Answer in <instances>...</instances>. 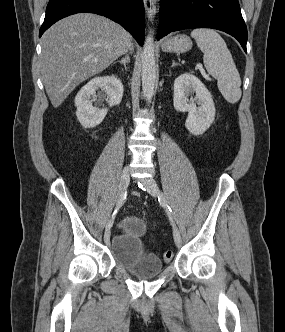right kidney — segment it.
<instances>
[{"label": "right kidney", "mask_w": 285, "mask_h": 332, "mask_svg": "<svg viewBox=\"0 0 285 332\" xmlns=\"http://www.w3.org/2000/svg\"><path fill=\"white\" fill-rule=\"evenodd\" d=\"M101 90L100 95H107L110 107L119 105L123 96V84L120 79L112 76L96 77L83 86L75 97L77 107L76 116L84 128H93L99 125L105 118L108 109H97L92 105L91 99H96V91Z\"/></svg>", "instance_id": "1"}]
</instances>
